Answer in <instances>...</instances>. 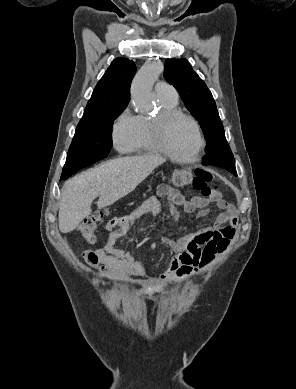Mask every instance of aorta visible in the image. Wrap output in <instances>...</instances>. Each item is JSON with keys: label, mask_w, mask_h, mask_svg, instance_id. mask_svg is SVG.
Wrapping results in <instances>:
<instances>
[{"label": "aorta", "mask_w": 296, "mask_h": 389, "mask_svg": "<svg viewBox=\"0 0 296 389\" xmlns=\"http://www.w3.org/2000/svg\"><path fill=\"white\" fill-rule=\"evenodd\" d=\"M162 71L163 67L157 61H148L138 71L131 86V97L136 105H152V88Z\"/></svg>", "instance_id": "obj_1"}]
</instances>
